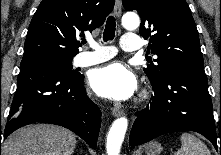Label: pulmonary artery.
<instances>
[{
  "label": "pulmonary artery",
  "mask_w": 221,
  "mask_h": 155,
  "mask_svg": "<svg viewBox=\"0 0 221 155\" xmlns=\"http://www.w3.org/2000/svg\"><path fill=\"white\" fill-rule=\"evenodd\" d=\"M89 46L93 51H83L75 59L76 66H90L111 59L116 51L112 47L101 46L94 41H89ZM141 47L140 39L136 34L127 33L122 36L121 48L127 52H135Z\"/></svg>",
  "instance_id": "pulmonary-artery-1"
}]
</instances>
